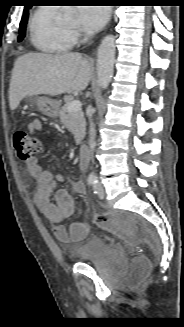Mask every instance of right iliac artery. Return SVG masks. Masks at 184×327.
I'll return each instance as SVG.
<instances>
[{
    "label": "right iliac artery",
    "mask_w": 184,
    "mask_h": 327,
    "mask_svg": "<svg viewBox=\"0 0 184 327\" xmlns=\"http://www.w3.org/2000/svg\"><path fill=\"white\" fill-rule=\"evenodd\" d=\"M87 181L89 185H94L97 182L96 178L93 176H90Z\"/></svg>",
    "instance_id": "right-iliac-artery-1"
}]
</instances>
